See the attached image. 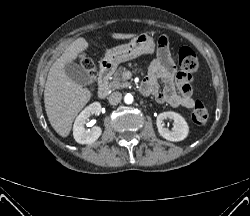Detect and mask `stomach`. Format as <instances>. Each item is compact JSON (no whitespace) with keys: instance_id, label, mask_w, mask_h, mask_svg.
Listing matches in <instances>:
<instances>
[{"instance_id":"0dacf381","label":"stomach","mask_w":250,"mask_h":216,"mask_svg":"<svg viewBox=\"0 0 250 216\" xmlns=\"http://www.w3.org/2000/svg\"><path fill=\"white\" fill-rule=\"evenodd\" d=\"M155 43L147 33L134 37L129 43L109 49L104 56V63L116 68L120 63L132 60L141 55L153 54Z\"/></svg>"}]
</instances>
